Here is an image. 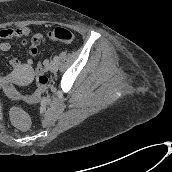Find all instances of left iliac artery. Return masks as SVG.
I'll use <instances>...</instances> for the list:
<instances>
[{"instance_id":"1","label":"left iliac artery","mask_w":172,"mask_h":172,"mask_svg":"<svg viewBox=\"0 0 172 172\" xmlns=\"http://www.w3.org/2000/svg\"><path fill=\"white\" fill-rule=\"evenodd\" d=\"M53 60H54L55 62H57V61H58V56H55V57L53 58Z\"/></svg>"}]
</instances>
